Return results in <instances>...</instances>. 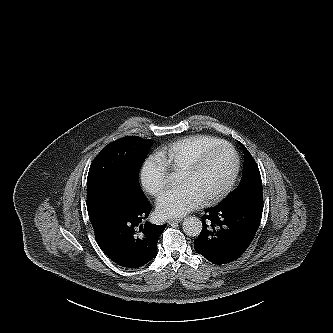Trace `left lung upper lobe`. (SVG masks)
<instances>
[{
	"label": "left lung upper lobe",
	"instance_id": "1",
	"mask_svg": "<svg viewBox=\"0 0 333 333\" xmlns=\"http://www.w3.org/2000/svg\"><path fill=\"white\" fill-rule=\"evenodd\" d=\"M242 146L244 151V166L241 181L239 183V186L232 193H230V195H228L222 201V203L231 201L241 196L242 194L254 190H262V181L258 165L256 164L249 151L246 149V147L244 145Z\"/></svg>",
	"mask_w": 333,
	"mask_h": 333
}]
</instances>
